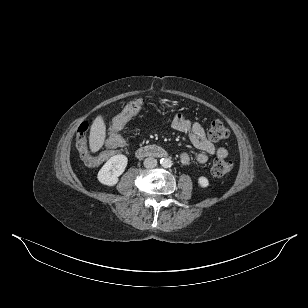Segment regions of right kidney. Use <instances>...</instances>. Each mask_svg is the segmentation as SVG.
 I'll return each mask as SVG.
<instances>
[{"instance_id":"obj_1","label":"right kidney","mask_w":308,"mask_h":308,"mask_svg":"<svg viewBox=\"0 0 308 308\" xmlns=\"http://www.w3.org/2000/svg\"><path fill=\"white\" fill-rule=\"evenodd\" d=\"M128 159L125 155L118 154L111 157L98 172V180L107 186H114L118 177L124 172Z\"/></svg>"}]
</instances>
